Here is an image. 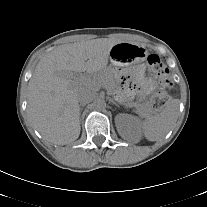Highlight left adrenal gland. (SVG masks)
<instances>
[{"mask_svg": "<svg viewBox=\"0 0 207 207\" xmlns=\"http://www.w3.org/2000/svg\"><path fill=\"white\" fill-rule=\"evenodd\" d=\"M111 103L114 104L116 107L120 108V106L113 100H111Z\"/></svg>", "mask_w": 207, "mask_h": 207, "instance_id": "left-adrenal-gland-1", "label": "left adrenal gland"}]
</instances>
